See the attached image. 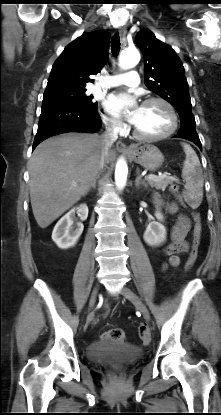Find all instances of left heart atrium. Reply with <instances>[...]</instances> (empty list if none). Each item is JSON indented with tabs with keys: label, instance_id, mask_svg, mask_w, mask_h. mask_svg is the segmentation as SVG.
I'll use <instances>...</instances> for the list:
<instances>
[{
	"label": "left heart atrium",
	"instance_id": "39dd6f15",
	"mask_svg": "<svg viewBox=\"0 0 221 415\" xmlns=\"http://www.w3.org/2000/svg\"><path fill=\"white\" fill-rule=\"evenodd\" d=\"M107 107L117 116L123 115L126 110L130 109L127 119L133 124L136 122L140 109L135 98L128 95H111L107 100Z\"/></svg>",
	"mask_w": 221,
	"mask_h": 415
}]
</instances>
